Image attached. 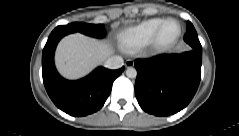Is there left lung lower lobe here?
Returning a JSON list of instances; mask_svg holds the SVG:
<instances>
[{
  "label": "left lung lower lobe",
  "instance_id": "0a47b994",
  "mask_svg": "<svg viewBox=\"0 0 239 136\" xmlns=\"http://www.w3.org/2000/svg\"><path fill=\"white\" fill-rule=\"evenodd\" d=\"M202 52L137 59L135 95L141 108L156 116L172 115L192 100L201 79Z\"/></svg>",
  "mask_w": 239,
  "mask_h": 136
}]
</instances>
